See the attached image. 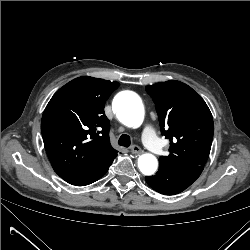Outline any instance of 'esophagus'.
Listing matches in <instances>:
<instances>
[{"instance_id":"34e87169","label":"esophagus","mask_w":250,"mask_h":250,"mask_svg":"<svg viewBox=\"0 0 250 250\" xmlns=\"http://www.w3.org/2000/svg\"><path fill=\"white\" fill-rule=\"evenodd\" d=\"M131 152H132V154L139 155V154L142 153V149L139 146H137V145H133L131 147Z\"/></svg>"}]
</instances>
